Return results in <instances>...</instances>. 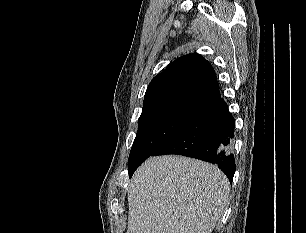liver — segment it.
Here are the masks:
<instances>
[{"instance_id": "6515ba94", "label": "liver", "mask_w": 306, "mask_h": 233, "mask_svg": "<svg viewBox=\"0 0 306 233\" xmlns=\"http://www.w3.org/2000/svg\"><path fill=\"white\" fill-rule=\"evenodd\" d=\"M229 193V181L215 165L151 157L129 184L127 233H212Z\"/></svg>"}]
</instances>
